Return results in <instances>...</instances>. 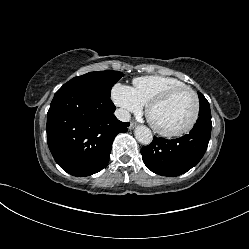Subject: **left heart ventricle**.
Wrapping results in <instances>:
<instances>
[{
    "mask_svg": "<svg viewBox=\"0 0 249 249\" xmlns=\"http://www.w3.org/2000/svg\"><path fill=\"white\" fill-rule=\"evenodd\" d=\"M194 112V98L188 91L173 96L152 112L153 122L163 130L175 131L188 124Z\"/></svg>",
    "mask_w": 249,
    "mask_h": 249,
    "instance_id": "left-heart-ventricle-1",
    "label": "left heart ventricle"
}]
</instances>
